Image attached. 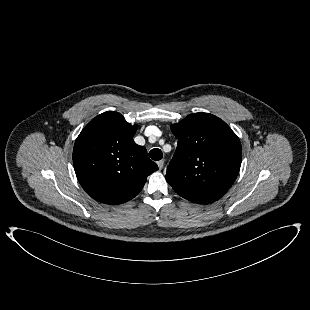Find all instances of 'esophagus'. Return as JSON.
I'll list each match as a JSON object with an SVG mask.
<instances>
[{
  "label": "esophagus",
  "mask_w": 310,
  "mask_h": 310,
  "mask_svg": "<svg viewBox=\"0 0 310 310\" xmlns=\"http://www.w3.org/2000/svg\"><path fill=\"white\" fill-rule=\"evenodd\" d=\"M157 165H158L159 170H161L163 168V165H164V160L158 161Z\"/></svg>",
  "instance_id": "1"
}]
</instances>
